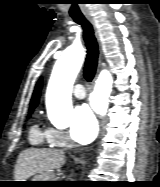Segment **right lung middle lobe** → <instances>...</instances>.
<instances>
[{"instance_id": "1", "label": "right lung middle lobe", "mask_w": 160, "mask_h": 187, "mask_svg": "<svg viewBox=\"0 0 160 187\" xmlns=\"http://www.w3.org/2000/svg\"><path fill=\"white\" fill-rule=\"evenodd\" d=\"M33 112V109H30V112H29V114H31Z\"/></svg>"}]
</instances>
